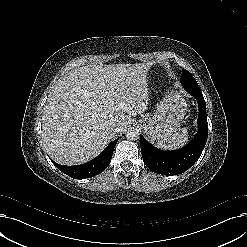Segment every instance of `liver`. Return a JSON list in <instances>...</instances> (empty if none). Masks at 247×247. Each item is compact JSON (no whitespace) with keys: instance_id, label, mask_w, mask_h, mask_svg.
<instances>
[{"instance_id":"liver-1","label":"liver","mask_w":247,"mask_h":247,"mask_svg":"<svg viewBox=\"0 0 247 247\" xmlns=\"http://www.w3.org/2000/svg\"><path fill=\"white\" fill-rule=\"evenodd\" d=\"M151 63L88 65L57 82L42 118L43 147L57 163L77 165L100 154L131 115L147 109ZM112 123L119 131H108Z\"/></svg>"}]
</instances>
